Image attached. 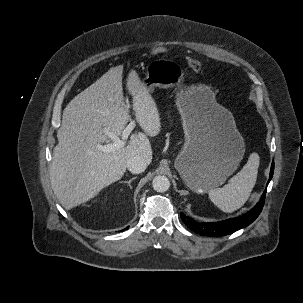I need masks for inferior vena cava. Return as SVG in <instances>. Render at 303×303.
Segmentation results:
<instances>
[{
    "instance_id": "obj_1",
    "label": "inferior vena cava",
    "mask_w": 303,
    "mask_h": 303,
    "mask_svg": "<svg viewBox=\"0 0 303 303\" xmlns=\"http://www.w3.org/2000/svg\"><path fill=\"white\" fill-rule=\"evenodd\" d=\"M149 162L140 156H134L128 159L127 168L130 172L134 174H139L145 171Z\"/></svg>"
}]
</instances>
